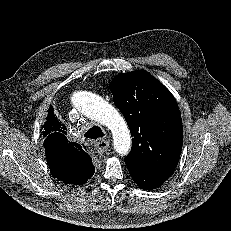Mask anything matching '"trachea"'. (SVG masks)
<instances>
[{
    "instance_id": "3493384b",
    "label": "trachea",
    "mask_w": 231,
    "mask_h": 231,
    "mask_svg": "<svg viewBox=\"0 0 231 231\" xmlns=\"http://www.w3.org/2000/svg\"><path fill=\"white\" fill-rule=\"evenodd\" d=\"M104 136L103 131L98 126H92L86 133L85 137L90 139H98Z\"/></svg>"
}]
</instances>
